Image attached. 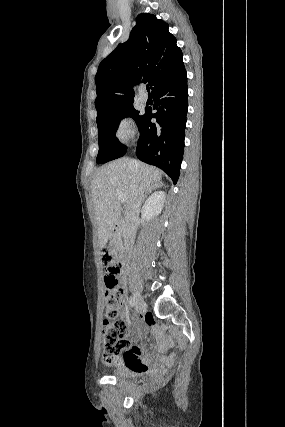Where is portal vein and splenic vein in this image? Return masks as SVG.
<instances>
[{
	"mask_svg": "<svg viewBox=\"0 0 285 427\" xmlns=\"http://www.w3.org/2000/svg\"><path fill=\"white\" fill-rule=\"evenodd\" d=\"M117 195H118V200H119L121 203H125V202H126V200H125V198H124V195H123L121 192H118V193H117Z\"/></svg>",
	"mask_w": 285,
	"mask_h": 427,
	"instance_id": "1",
	"label": "portal vein and splenic vein"
}]
</instances>
